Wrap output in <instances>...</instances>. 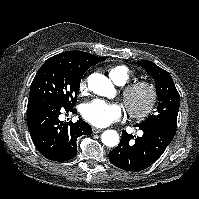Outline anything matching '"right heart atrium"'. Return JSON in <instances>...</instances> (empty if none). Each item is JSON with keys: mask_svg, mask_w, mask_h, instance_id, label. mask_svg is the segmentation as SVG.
<instances>
[{"mask_svg": "<svg viewBox=\"0 0 199 199\" xmlns=\"http://www.w3.org/2000/svg\"><path fill=\"white\" fill-rule=\"evenodd\" d=\"M78 88H79L80 93H85L87 91V88H88L87 81L85 79L82 80L79 83V87Z\"/></svg>", "mask_w": 199, "mask_h": 199, "instance_id": "obj_1", "label": "right heart atrium"}]
</instances>
